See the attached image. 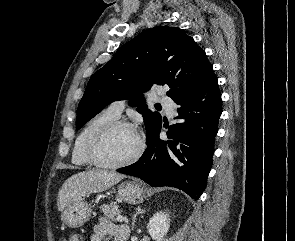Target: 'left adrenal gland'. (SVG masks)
<instances>
[{"instance_id":"1","label":"left adrenal gland","mask_w":295,"mask_h":241,"mask_svg":"<svg viewBox=\"0 0 295 241\" xmlns=\"http://www.w3.org/2000/svg\"><path fill=\"white\" fill-rule=\"evenodd\" d=\"M145 211H146L145 209H141V206H138V207L136 208V213H135V214L133 215V217H132L131 230H134L137 215H138V214H142V213H144Z\"/></svg>"}]
</instances>
